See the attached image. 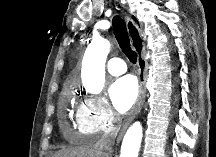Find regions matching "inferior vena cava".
<instances>
[{"instance_id":"1","label":"inferior vena cava","mask_w":216,"mask_h":157,"mask_svg":"<svg viewBox=\"0 0 216 157\" xmlns=\"http://www.w3.org/2000/svg\"><path fill=\"white\" fill-rule=\"evenodd\" d=\"M115 133H104L101 139L95 144L98 157H111Z\"/></svg>"}]
</instances>
